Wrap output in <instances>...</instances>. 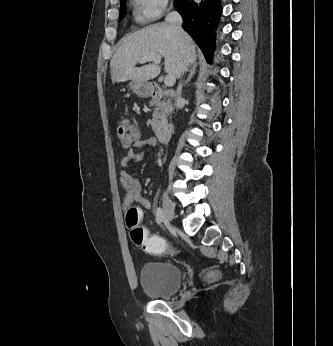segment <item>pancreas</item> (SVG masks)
I'll return each mask as SVG.
<instances>
[{
    "label": "pancreas",
    "instance_id": "obj_1",
    "mask_svg": "<svg viewBox=\"0 0 333 346\" xmlns=\"http://www.w3.org/2000/svg\"><path fill=\"white\" fill-rule=\"evenodd\" d=\"M150 106L155 107V111L153 113V118L151 121V126L152 130L155 133H157L166 122V115L169 106L165 101H161L160 99H152L150 101Z\"/></svg>",
    "mask_w": 333,
    "mask_h": 346
}]
</instances>
